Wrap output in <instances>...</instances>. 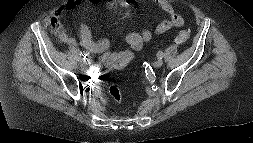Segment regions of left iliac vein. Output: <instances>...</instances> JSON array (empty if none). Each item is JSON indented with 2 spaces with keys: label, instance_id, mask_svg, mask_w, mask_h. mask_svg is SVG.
<instances>
[{
  "label": "left iliac vein",
  "instance_id": "left-iliac-vein-1",
  "mask_svg": "<svg viewBox=\"0 0 253 143\" xmlns=\"http://www.w3.org/2000/svg\"><path fill=\"white\" fill-rule=\"evenodd\" d=\"M163 65V60H161V59H158L157 61H155V63H154V66L155 67H161Z\"/></svg>",
  "mask_w": 253,
  "mask_h": 143
}]
</instances>
